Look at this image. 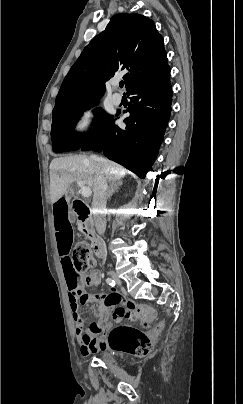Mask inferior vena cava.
Wrapping results in <instances>:
<instances>
[{
  "mask_svg": "<svg viewBox=\"0 0 243 404\" xmlns=\"http://www.w3.org/2000/svg\"><path fill=\"white\" fill-rule=\"evenodd\" d=\"M96 158V156H92ZM94 198L92 202V212L94 216L95 228L99 236H103L106 230V220H105V210H106V194H107V184L106 178L102 174L100 164H96L94 170ZM111 271V270H110Z\"/></svg>",
  "mask_w": 243,
  "mask_h": 404,
  "instance_id": "inferior-vena-cava-1",
  "label": "inferior vena cava"
}]
</instances>
